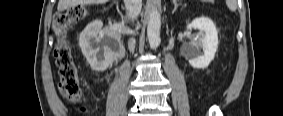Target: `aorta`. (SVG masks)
Instances as JSON below:
<instances>
[{
	"instance_id": "obj_1",
	"label": "aorta",
	"mask_w": 283,
	"mask_h": 116,
	"mask_svg": "<svg viewBox=\"0 0 283 116\" xmlns=\"http://www.w3.org/2000/svg\"><path fill=\"white\" fill-rule=\"evenodd\" d=\"M160 30L161 16L157 7L155 5H152L149 11L147 23V37L152 49H156L160 45Z\"/></svg>"
}]
</instances>
